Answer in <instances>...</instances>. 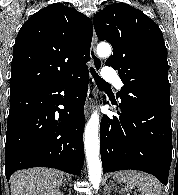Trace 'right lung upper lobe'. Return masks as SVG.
<instances>
[{
	"mask_svg": "<svg viewBox=\"0 0 178 195\" xmlns=\"http://www.w3.org/2000/svg\"><path fill=\"white\" fill-rule=\"evenodd\" d=\"M93 27L75 8L60 3L33 14L13 47L10 91L60 83L87 68Z\"/></svg>",
	"mask_w": 178,
	"mask_h": 195,
	"instance_id": "1",
	"label": "right lung upper lobe"
}]
</instances>
